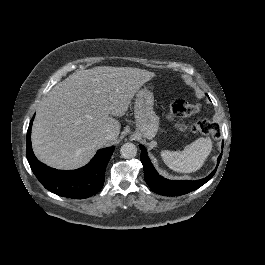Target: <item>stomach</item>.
Listing matches in <instances>:
<instances>
[{
    "label": "stomach",
    "instance_id": "1",
    "mask_svg": "<svg viewBox=\"0 0 265 265\" xmlns=\"http://www.w3.org/2000/svg\"><path fill=\"white\" fill-rule=\"evenodd\" d=\"M135 118L137 119V131L142 137L153 139L159 130V117L155 114L154 95L146 87H140L135 94Z\"/></svg>",
    "mask_w": 265,
    "mask_h": 265
}]
</instances>
